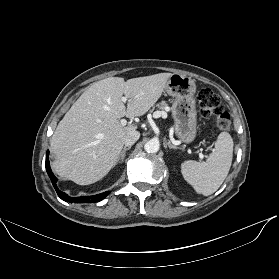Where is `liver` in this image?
<instances>
[{"instance_id":"6515ba94","label":"liver","mask_w":279,"mask_h":279,"mask_svg":"<svg viewBox=\"0 0 279 279\" xmlns=\"http://www.w3.org/2000/svg\"><path fill=\"white\" fill-rule=\"evenodd\" d=\"M171 73L132 78L109 77L92 84L59 122L50 140L56 174L89 185L109 173L125 138L136 126L120 118L144 115L161 97ZM128 99L127 109L122 101Z\"/></svg>"}]
</instances>
